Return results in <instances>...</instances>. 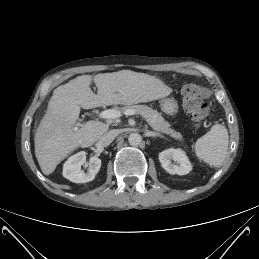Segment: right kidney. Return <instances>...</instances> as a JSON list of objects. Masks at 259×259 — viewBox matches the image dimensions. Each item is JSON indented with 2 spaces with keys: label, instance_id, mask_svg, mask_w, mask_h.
I'll return each instance as SVG.
<instances>
[{
  "label": "right kidney",
  "instance_id": "obj_1",
  "mask_svg": "<svg viewBox=\"0 0 259 259\" xmlns=\"http://www.w3.org/2000/svg\"><path fill=\"white\" fill-rule=\"evenodd\" d=\"M86 163V153L78 152L64 163L63 176L74 183H87L94 180L101 167V160L93 156L89 159V169L87 173L81 170V166Z\"/></svg>",
  "mask_w": 259,
  "mask_h": 259
}]
</instances>
